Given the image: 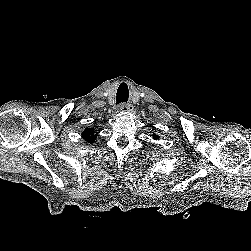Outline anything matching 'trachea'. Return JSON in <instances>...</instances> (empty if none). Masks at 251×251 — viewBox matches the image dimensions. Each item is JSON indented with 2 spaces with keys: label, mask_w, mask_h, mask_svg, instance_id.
<instances>
[{
  "label": "trachea",
  "mask_w": 251,
  "mask_h": 251,
  "mask_svg": "<svg viewBox=\"0 0 251 251\" xmlns=\"http://www.w3.org/2000/svg\"><path fill=\"white\" fill-rule=\"evenodd\" d=\"M128 95V88L124 84H121L117 90L116 104L126 103L128 101Z\"/></svg>",
  "instance_id": "trachea-1"
}]
</instances>
